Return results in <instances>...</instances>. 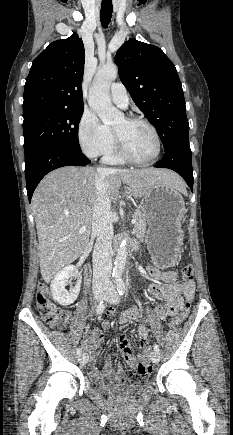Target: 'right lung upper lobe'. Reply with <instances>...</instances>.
<instances>
[{
	"label": "right lung upper lobe",
	"instance_id": "obj_1",
	"mask_svg": "<svg viewBox=\"0 0 233 435\" xmlns=\"http://www.w3.org/2000/svg\"><path fill=\"white\" fill-rule=\"evenodd\" d=\"M85 50L77 33L52 42L33 61L24 87L23 116L49 109H83Z\"/></svg>",
	"mask_w": 233,
	"mask_h": 435
}]
</instances>
